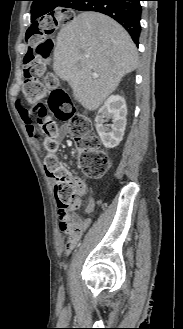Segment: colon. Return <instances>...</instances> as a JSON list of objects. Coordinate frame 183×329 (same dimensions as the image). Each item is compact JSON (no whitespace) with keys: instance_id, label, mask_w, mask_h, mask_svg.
Segmentation results:
<instances>
[{"instance_id":"obj_1","label":"colon","mask_w":183,"mask_h":329,"mask_svg":"<svg viewBox=\"0 0 183 329\" xmlns=\"http://www.w3.org/2000/svg\"><path fill=\"white\" fill-rule=\"evenodd\" d=\"M40 18L34 19V25L26 31L28 50L23 58L24 96H17L16 101L19 114L37 115L36 122H33L34 131L36 134L41 132L46 137L44 171L55 181L53 190L58 212L65 214L78 207L79 191L75 179L55 154L54 137L57 128L52 114L60 120L69 122L71 134L80 150V168L86 177L101 178L109 169L111 160L99 149V141L89 118L73 110L69 96L64 90L53 89L48 100V108L42 103V87L39 81H47L50 86H54L56 82L51 74H40L43 71L40 62L49 58L54 49L53 38H58L61 26H67L73 16L62 10L57 14H41ZM62 230L72 237L80 234V227L69 222L62 224Z\"/></svg>"}]
</instances>
